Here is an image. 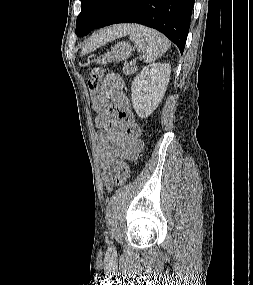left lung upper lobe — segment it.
<instances>
[{"mask_svg": "<svg viewBox=\"0 0 253 285\" xmlns=\"http://www.w3.org/2000/svg\"><path fill=\"white\" fill-rule=\"evenodd\" d=\"M114 0H81L82 9L76 21L77 36H85L95 29L108 13Z\"/></svg>", "mask_w": 253, "mask_h": 285, "instance_id": "1", "label": "left lung upper lobe"}]
</instances>
